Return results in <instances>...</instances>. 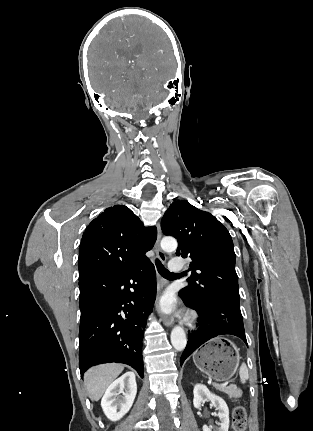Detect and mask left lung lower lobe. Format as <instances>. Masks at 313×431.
<instances>
[{"instance_id": "0a47b994", "label": "left lung lower lobe", "mask_w": 313, "mask_h": 431, "mask_svg": "<svg viewBox=\"0 0 313 431\" xmlns=\"http://www.w3.org/2000/svg\"><path fill=\"white\" fill-rule=\"evenodd\" d=\"M186 306L197 311L198 328L189 333L187 346L181 356V365L198 347L219 335L231 334L241 338L247 345L242 314L239 303L228 301H207L194 305L186 301L179 292Z\"/></svg>"}]
</instances>
